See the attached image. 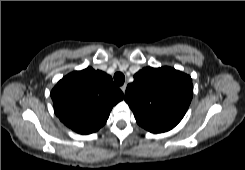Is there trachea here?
<instances>
[{
	"label": "trachea",
	"instance_id": "3493384b",
	"mask_svg": "<svg viewBox=\"0 0 245 170\" xmlns=\"http://www.w3.org/2000/svg\"><path fill=\"white\" fill-rule=\"evenodd\" d=\"M114 81L118 86L123 85L124 81H125V76L123 73L121 72H117L114 75Z\"/></svg>",
	"mask_w": 245,
	"mask_h": 170
}]
</instances>
